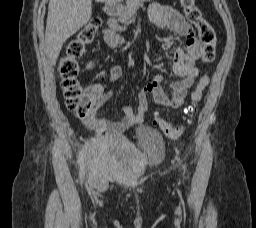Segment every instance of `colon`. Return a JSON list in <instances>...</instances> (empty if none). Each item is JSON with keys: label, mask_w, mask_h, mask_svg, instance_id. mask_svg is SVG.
<instances>
[{"label": "colon", "mask_w": 256, "mask_h": 228, "mask_svg": "<svg viewBox=\"0 0 256 228\" xmlns=\"http://www.w3.org/2000/svg\"><path fill=\"white\" fill-rule=\"evenodd\" d=\"M180 4L188 20L197 28L199 39L202 42V61L210 63L216 57L217 36L214 28L203 18L201 11L196 6L195 0H180ZM101 25L98 17L92 18L79 33L71 39L66 47L59 63L61 88L67 108L80 119H89L96 115L99 109V99L96 95L84 90L79 79V60L86 53L88 46L93 43L97 31ZM209 82L207 76H203L191 94V106L189 113L196 110L202 98V93ZM154 122L170 138H178L183 133V127L174 125L161 117H155Z\"/></svg>", "instance_id": "colon-1"}]
</instances>
